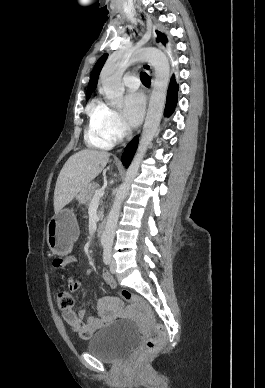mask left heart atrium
Listing matches in <instances>:
<instances>
[{"label": "left heart atrium", "mask_w": 265, "mask_h": 388, "mask_svg": "<svg viewBox=\"0 0 265 388\" xmlns=\"http://www.w3.org/2000/svg\"><path fill=\"white\" fill-rule=\"evenodd\" d=\"M145 101L142 93L127 94L123 101V118L131 125H137L144 114Z\"/></svg>", "instance_id": "obj_1"}]
</instances>
